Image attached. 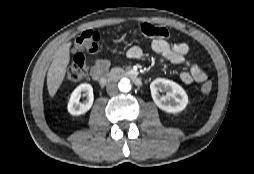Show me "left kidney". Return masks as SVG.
Wrapping results in <instances>:
<instances>
[{
	"label": "left kidney",
	"instance_id": "5707ae66",
	"mask_svg": "<svg viewBox=\"0 0 254 174\" xmlns=\"http://www.w3.org/2000/svg\"><path fill=\"white\" fill-rule=\"evenodd\" d=\"M151 95L154 103L168 113H178L184 110L188 104V95L177 83L157 78L150 84ZM166 91V95L159 92Z\"/></svg>",
	"mask_w": 254,
	"mask_h": 174
}]
</instances>
